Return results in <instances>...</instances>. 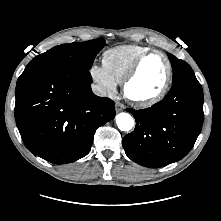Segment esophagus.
<instances>
[{
    "instance_id": "obj_1",
    "label": "esophagus",
    "mask_w": 221,
    "mask_h": 221,
    "mask_svg": "<svg viewBox=\"0 0 221 221\" xmlns=\"http://www.w3.org/2000/svg\"><path fill=\"white\" fill-rule=\"evenodd\" d=\"M125 109V105L122 104L121 102H116L115 103V110L117 113L122 112Z\"/></svg>"
}]
</instances>
